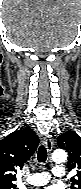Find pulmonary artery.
<instances>
[{
	"label": "pulmonary artery",
	"instance_id": "pulmonary-artery-1",
	"mask_svg": "<svg viewBox=\"0 0 81 189\" xmlns=\"http://www.w3.org/2000/svg\"><path fill=\"white\" fill-rule=\"evenodd\" d=\"M53 176L56 178H62L65 175V171L63 167L61 166H56L52 169ZM51 179V175L47 172H42V173H35L32 174L29 177V184L33 186H42L46 183H48Z\"/></svg>",
	"mask_w": 81,
	"mask_h": 189
}]
</instances>
